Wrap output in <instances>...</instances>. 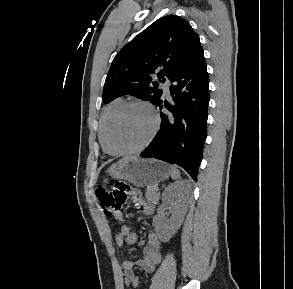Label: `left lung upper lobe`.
<instances>
[{"mask_svg": "<svg viewBox=\"0 0 293 289\" xmlns=\"http://www.w3.org/2000/svg\"><path fill=\"white\" fill-rule=\"evenodd\" d=\"M202 51L187 21L175 15L159 18L115 56L104 84V103L128 94L156 105L162 95L159 83L165 77L171 80Z\"/></svg>", "mask_w": 293, "mask_h": 289, "instance_id": "left-lung-upper-lobe-1", "label": "left lung upper lobe"}]
</instances>
